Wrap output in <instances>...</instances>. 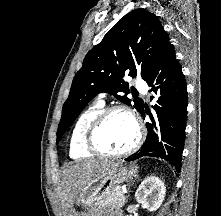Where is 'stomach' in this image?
<instances>
[{
  "label": "stomach",
  "instance_id": "obj_1",
  "mask_svg": "<svg viewBox=\"0 0 221 216\" xmlns=\"http://www.w3.org/2000/svg\"><path fill=\"white\" fill-rule=\"evenodd\" d=\"M137 172L135 165H126L123 162L112 163L92 178L78 194L76 204L82 206L84 210H73L69 216H90L89 211L96 205L101 204L114 187L131 179Z\"/></svg>",
  "mask_w": 221,
  "mask_h": 216
}]
</instances>
